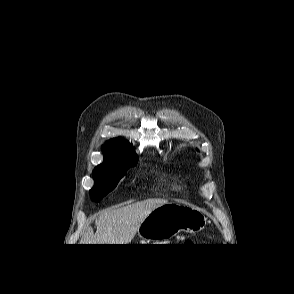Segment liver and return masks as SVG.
<instances>
[{
    "mask_svg": "<svg viewBox=\"0 0 294 294\" xmlns=\"http://www.w3.org/2000/svg\"><path fill=\"white\" fill-rule=\"evenodd\" d=\"M165 203V199H147L124 207L107 209L95 220L96 233L92 227H88L80 244H129L142 221Z\"/></svg>",
    "mask_w": 294,
    "mask_h": 294,
    "instance_id": "liver-1",
    "label": "liver"
}]
</instances>
